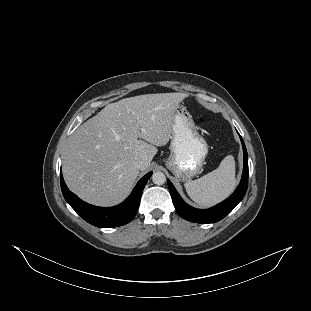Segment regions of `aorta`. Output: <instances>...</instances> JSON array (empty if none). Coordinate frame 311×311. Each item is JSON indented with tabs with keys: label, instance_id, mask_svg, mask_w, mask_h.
I'll use <instances>...</instances> for the list:
<instances>
[{
	"label": "aorta",
	"instance_id": "obj_1",
	"mask_svg": "<svg viewBox=\"0 0 311 311\" xmlns=\"http://www.w3.org/2000/svg\"><path fill=\"white\" fill-rule=\"evenodd\" d=\"M166 175L163 172H154L152 174V182L155 185L161 186L166 183Z\"/></svg>",
	"mask_w": 311,
	"mask_h": 311
}]
</instances>
